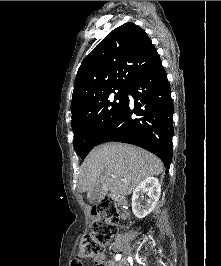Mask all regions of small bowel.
I'll return each instance as SVG.
<instances>
[{"label":"small bowel","instance_id":"c3829d8e","mask_svg":"<svg viewBox=\"0 0 221 266\" xmlns=\"http://www.w3.org/2000/svg\"><path fill=\"white\" fill-rule=\"evenodd\" d=\"M97 266H116L112 261H106V257L104 254L98 255L94 259ZM71 266H83L82 258H71Z\"/></svg>","mask_w":221,"mask_h":266}]
</instances>
